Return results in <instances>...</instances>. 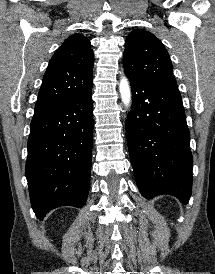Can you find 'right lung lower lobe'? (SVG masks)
<instances>
[{"mask_svg": "<svg viewBox=\"0 0 215 274\" xmlns=\"http://www.w3.org/2000/svg\"><path fill=\"white\" fill-rule=\"evenodd\" d=\"M93 133L92 85L72 98L34 113L26 178L39 219L59 206L81 208L89 192Z\"/></svg>", "mask_w": 215, "mask_h": 274, "instance_id": "obj_1", "label": "right lung lower lobe"}]
</instances>
